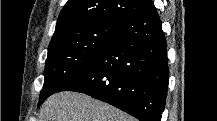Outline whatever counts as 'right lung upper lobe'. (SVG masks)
Returning a JSON list of instances; mask_svg holds the SVG:
<instances>
[{
  "instance_id": "cb5924a9",
  "label": "right lung upper lobe",
  "mask_w": 217,
  "mask_h": 121,
  "mask_svg": "<svg viewBox=\"0 0 217 121\" xmlns=\"http://www.w3.org/2000/svg\"><path fill=\"white\" fill-rule=\"evenodd\" d=\"M152 3V0H68L57 20L51 41L72 27L98 19L127 22Z\"/></svg>"
}]
</instances>
